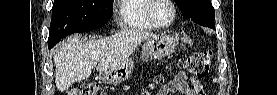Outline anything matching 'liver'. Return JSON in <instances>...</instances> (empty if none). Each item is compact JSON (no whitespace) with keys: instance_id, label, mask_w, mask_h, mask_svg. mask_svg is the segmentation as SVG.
<instances>
[{"instance_id":"obj_1","label":"liver","mask_w":277,"mask_h":95,"mask_svg":"<svg viewBox=\"0 0 277 95\" xmlns=\"http://www.w3.org/2000/svg\"><path fill=\"white\" fill-rule=\"evenodd\" d=\"M154 35L142 30H124L112 36L84 41L71 36L54 51L55 84L64 91L87 79L96 67L100 73L113 70L130 57L145 40Z\"/></svg>"}]
</instances>
